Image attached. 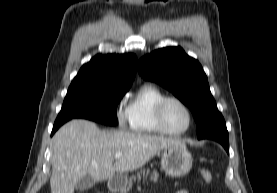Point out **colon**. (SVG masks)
I'll return each mask as SVG.
<instances>
[{"label": "colon", "mask_w": 277, "mask_h": 193, "mask_svg": "<svg viewBox=\"0 0 277 193\" xmlns=\"http://www.w3.org/2000/svg\"><path fill=\"white\" fill-rule=\"evenodd\" d=\"M201 176L205 183H211L213 180V175H212L211 171H209L207 169L201 170Z\"/></svg>", "instance_id": "5ec220e1"}]
</instances>
